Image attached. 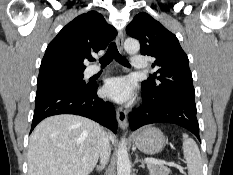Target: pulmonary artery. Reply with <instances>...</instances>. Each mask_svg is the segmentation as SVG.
Segmentation results:
<instances>
[{"mask_svg": "<svg viewBox=\"0 0 233 175\" xmlns=\"http://www.w3.org/2000/svg\"><path fill=\"white\" fill-rule=\"evenodd\" d=\"M131 64H132V67L134 69H144L147 67V62L145 60V58L142 56V55H134L132 56L131 58ZM100 71V68L99 67H90L88 70H87V74L88 75H94L96 73H98Z\"/></svg>", "mask_w": 233, "mask_h": 175, "instance_id": "pulmonary-artery-1", "label": "pulmonary artery"}]
</instances>
